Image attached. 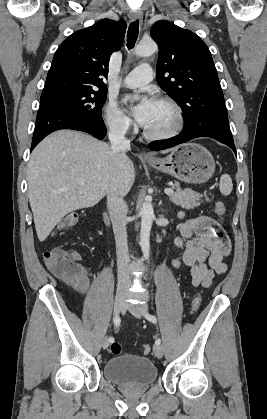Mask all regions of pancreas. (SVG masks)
<instances>
[{
  "label": "pancreas",
  "mask_w": 267,
  "mask_h": 419,
  "mask_svg": "<svg viewBox=\"0 0 267 419\" xmlns=\"http://www.w3.org/2000/svg\"><path fill=\"white\" fill-rule=\"evenodd\" d=\"M173 186L176 191L170 195V199L175 205L190 210L201 204L202 194L191 189L182 190L178 182H175Z\"/></svg>",
  "instance_id": "1"
}]
</instances>
